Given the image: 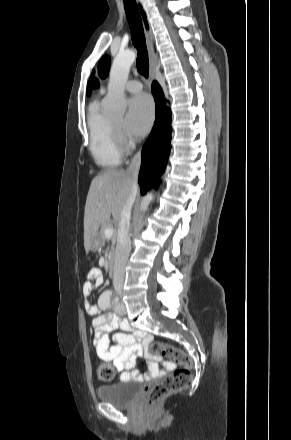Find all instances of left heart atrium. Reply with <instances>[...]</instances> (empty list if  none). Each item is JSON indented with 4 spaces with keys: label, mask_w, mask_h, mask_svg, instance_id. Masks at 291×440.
I'll use <instances>...</instances> for the list:
<instances>
[{
    "label": "left heart atrium",
    "mask_w": 291,
    "mask_h": 440,
    "mask_svg": "<svg viewBox=\"0 0 291 440\" xmlns=\"http://www.w3.org/2000/svg\"><path fill=\"white\" fill-rule=\"evenodd\" d=\"M154 119V107L149 96L139 94L129 100L125 130L129 136H144L150 129Z\"/></svg>",
    "instance_id": "left-heart-atrium-1"
}]
</instances>
